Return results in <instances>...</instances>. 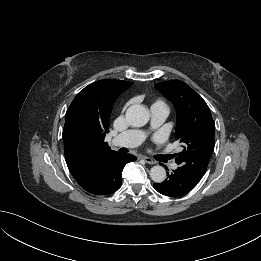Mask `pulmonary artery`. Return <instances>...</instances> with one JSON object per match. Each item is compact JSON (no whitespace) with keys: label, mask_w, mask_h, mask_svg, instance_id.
I'll use <instances>...</instances> for the list:
<instances>
[{"label":"pulmonary artery","mask_w":261,"mask_h":261,"mask_svg":"<svg viewBox=\"0 0 261 261\" xmlns=\"http://www.w3.org/2000/svg\"><path fill=\"white\" fill-rule=\"evenodd\" d=\"M168 114V111L163 108L151 110V123L153 126H159L164 122ZM144 139V133L141 131L131 130L124 132L114 138L111 142L113 146L119 147H136ZM176 168V165H173Z\"/></svg>","instance_id":"1"}]
</instances>
